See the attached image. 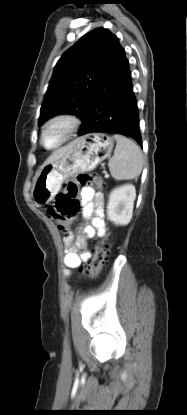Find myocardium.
Here are the masks:
<instances>
[{
    "label": "myocardium",
    "mask_w": 187,
    "mask_h": 415,
    "mask_svg": "<svg viewBox=\"0 0 187 415\" xmlns=\"http://www.w3.org/2000/svg\"><path fill=\"white\" fill-rule=\"evenodd\" d=\"M80 119L70 113H58L51 116L47 119L41 127L39 141L40 144L46 149H57L63 145H65L76 133L80 126ZM56 124H61L64 126V133L60 140L52 146H48L45 144V135L46 132Z\"/></svg>",
    "instance_id": "obj_1"
}]
</instances>
